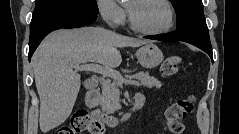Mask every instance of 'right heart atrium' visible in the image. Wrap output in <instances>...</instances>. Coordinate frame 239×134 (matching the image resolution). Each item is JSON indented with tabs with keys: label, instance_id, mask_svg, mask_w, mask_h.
I'll return each instance as SVG.
<instances>
[{
	"label": "right heart atrium",
	"instance_id": "obj_1",
	"mask_svg": "<svg viewBox=\"0 0 239 134\" xmlns=\"http://www.w3.org/2000/svg\"><path fill=\"white\" fill-rule=\"evenodd\" d=\"M97 9L110 26H120L125 21V11L115 0H98Z\"/></svg>",
	"mask_w": 239,
	"mask_h": 134
}]
</instances>
